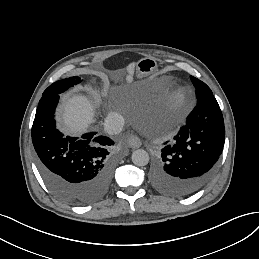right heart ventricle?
Here are the masks:
<instances>
[{
    "label": "right heart ventricle",
    "mask_w": 259,
    "mask_h": 259,
    "mask_svg": "<svg viewBox=\"0 0 259 259\" xmlns=\"http://www.w3.org/2000/svg\"><path fill=\"white\" fill-rule=\"evenodd\" d=\"M145 87L144 82L137 81L133 82L128 87L122 88V97L129 104L137 102L140 91Z\"/></svg>",
    "instance_id": "e07e8e85"
}]
</instances>
